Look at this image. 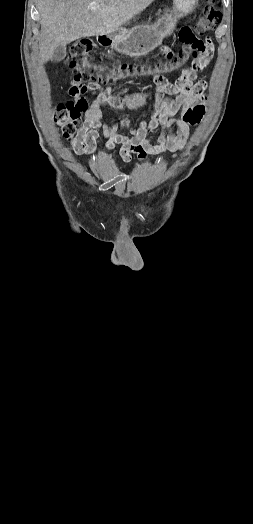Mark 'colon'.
<instances>
[{
  "instance_id": "5ec220e1",
  "label": "colon",
  "mask_w": 253,
  "mask_h": 524,
  "mask_svg": "<svg viewBox=\"0 0 253 524\" xmlns=\"http://www.w3.org/2000/svg\"><path fill=\"white\" fill-rule=\"evenodd\" d=\"M220 19L221 12L218 1L209 0L194 30L198 35H205L217 27ZM187 46L189 44H183V49L174 54L173 62L158 60L146 65L122 63L110 67L107 66L109 56L106 53H99L95 61L92 59V43L88 38H81L76 41L72 45L67 58V63L75 74L69 88V93L73 98L65 103L58 104L54 108V120L62 135L66 139H72L81 129L82 117L90 106L84 96V82L88 83L92 89L97 90L111 82L129 77H150L152 73H163L166 76L177 71L181 65L189 61L187 55L190 51ZM73 92H76V95H73ZM203 115L204 107L195 106L187 112L186 117L190 123L196 124L201 121Z\"/></svg>"
}]
</instances>
